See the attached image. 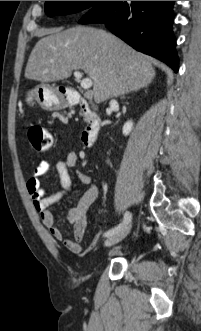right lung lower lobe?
Masks as SVG:
<instances>
[{
	"label": "right lung lower lobe",
	"mask_w": 201,
	"mask_h": 331,
	"mask_svg": "<svg viewBox=\"0 0 201 331\" xmlns=\"http://www.w3.org/2000/svg\"><path fill=\"white\" fill-rule=\"evenodd\" d=\"M174 2L98 1L79 23H104L130 46L158 58L177 72L179 62L172 30Z\"/></svg>",
	"instance_id": "obj_1"
}]
</instances>
